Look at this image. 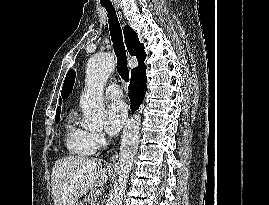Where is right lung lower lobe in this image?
I'll return each mask as SVG.
<instances>
[{
  "label": "right lung lower lobe",
  "mask_w": 269,
  "mask_h": 205,
  "mask_svg": "<svg viewBox=\"0 0 269 205\" xmlns=\"http://www.w3.org/2000/svg\"><path fill=\"white\" fill-rule=\"evenodd\" d=\"M147 77L145 71L139 72L131 77L129 85V98L131 101V110L134 112L142 103L146 93Z\"/></svg>",
  "instance_id": "right-lung-lower-lobe-1"
}]
</instances>
